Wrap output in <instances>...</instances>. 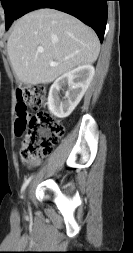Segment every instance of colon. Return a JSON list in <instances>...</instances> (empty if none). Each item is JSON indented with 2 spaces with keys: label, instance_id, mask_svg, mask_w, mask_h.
Masks as SVG:
<instances>
[{
  "label": "colon",
  "instance_id": "1",
  "mask_svg": "<svg viewBox=\"0 0 133 253\" xmlns=\"http://www.w3.org/2000/svg\"><path fill=\"white\" fill-rule=\"evenodd\" d=\"M15 129L23 135L20 151L25 163H33L51 153L64 132V127L52 115L40 110L44 105V92L37 86L17 91ZM36 110L30 114L29 110Z\"/></svg>",
  "mask_w": 133,
  "mask_h": 253
}]
</instances>
